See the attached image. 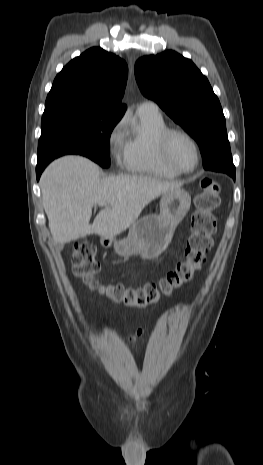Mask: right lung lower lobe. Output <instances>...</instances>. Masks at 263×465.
<instances>
[{"mask_svg":"<svg viewBox=\"0 0 263 465\" xmlns=\"http://www.w3.org/2000/svg\"><path fill=\"white\" fill-rule=\"evenodd\" d=\"M45 167H46V166H38V165H37V167H36L37 179L40 178V175H41V173H42V171L44 170Z\"/></svg>","mask_w":263,"mask_h":465,"instance_id":"right-lung-lower-lobe-1","label":"right lung lower lobe"}]
</instances>
